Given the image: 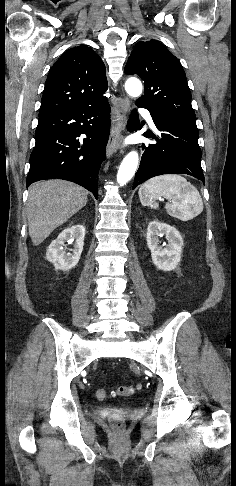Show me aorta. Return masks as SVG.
I'll return each mask as SVG.
<instances>
[{
    "mask_svg": "<svg viewBox=\"0 0 236 486\" xmlns=\"http://www.w3.org/2000/svg\"><path fill=\"white\" fill-rule=\"evenodd\" d=\"M126 92L132 97H138L142 93V84L137 78H129L125 83ZM139 162L136 151L129 152L123 159L118 173L117 182L123 186L134 176Z\"/></svg>",
    "mask_w": 236,
    "mask_h": 486,
    "instance_id": "1",
    "label": "aorta"
}]
</instances>
